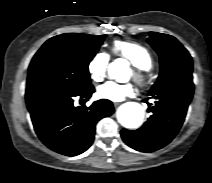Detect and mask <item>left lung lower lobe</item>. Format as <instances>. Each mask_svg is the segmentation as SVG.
I'll return each instance as SVG.
<instances>
[{
    "mask_svg": "<svg viewBox=\"0 0 212 183\" xmlns=\"http://www.w3.org/2000/svg\"><path fill=\"white\" fill-rule=\"evenodd\" d=\"M193 93L192 75L173 79L150 90L149 95L157 100L148 108L152 115L141 128L122 130L123 141L141 152H153L166 146L179 132Z\"/></svg>",
    "mask_w": 212,
    "mask_h": 183,
    "instance_id": "obj_1",
    "label": "left lung lower lobe"
}]
</instances>
